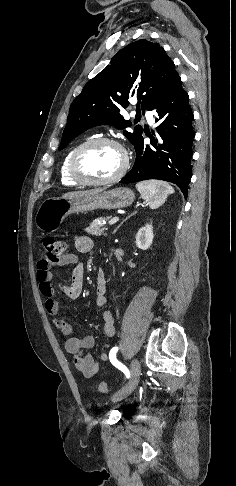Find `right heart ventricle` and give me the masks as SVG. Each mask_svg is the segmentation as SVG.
Wrapping results in <instances>:
<instances>
[{"instance_id": "e07e8e85", "label": "right heart ventricle", "mask_w": 236, "mask_h": 486, "mask_svg": "<svg viewBox=\"0 0 236 486\" xmlns=\"http://www.w3.org/2000/svg\"><path fill=\"white\" fill-rule=\"evenodd\" d=\"M81 143H77L75 144L74 146H72L69 151L67 152V154L65 155L63 161H62V164H61V168H60V177H61V182L62 184L66 185V186H77L79 185L78 182H76L69 174V170H68V165H69V160H70V157L72 155V153L74 152V150L80 145Z\"/></svg>"}]
</instances>
